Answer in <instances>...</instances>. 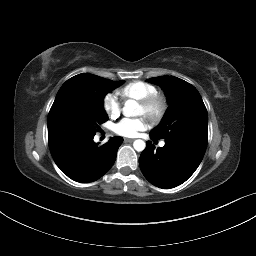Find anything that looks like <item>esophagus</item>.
<instances>
[{"label": "esophagus", "mask_w": 256, "mask_h": 256, "mask_svg": "<svg viewBox=\"0 0 256 256\" xmlns=\"http://www.w3.org/2000/svg\"><path fill=\"white\" fill-rule=\"evenodd\" d=\"M133 141H134V139H130V138H125V139H124V142H125V143L133 142Z\"/></svg>", "instance_id": "obj_1"}]
</instances>
